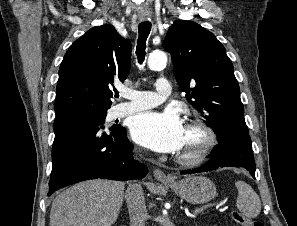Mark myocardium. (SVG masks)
Wrapping results in <instances>:
<instances>
[{
	"mask_svg": "<svg viewBox=\"0 0 297 226\" xmlns=\"http://www.w3.org/2000/svg\"><path fill=\"white\" fill-rule=\"evenodd\" d=\"M187 128H194L203 137L198 149L190 154H177L176 161L184 166H196L206 160L217 144V135L214 129L203 119L193 118L186 124Z\"/></svg>",
	"mask_w": 297,
	"mask_h": 226,
	"instance_id": "obj_1",
	"label": "myocardium"
}]
</instances>
